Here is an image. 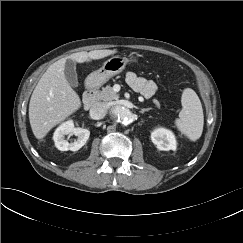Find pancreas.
I'll list each match as a JSON object with an SVG mask.
<instances>
[{
  "label": "pancreas",
  "instance_id": "pancreas-1",
  "mask_svg": "<svg viewBox=\"0 0 243 243\" xmlns=\"http://www.w3.org/2000/svg\"><path fill=\"white\" fill-rule=\"evenodd\" d=\"M119 95L113 90V87L107 85L102 91L98 94L97 99L101 101H113L117 100ZM154 104L159 108L160 103L158 100H153Z\"/></svg>",
  "mask_w": 243,
  "mask_h": 243
}]
</instances>
